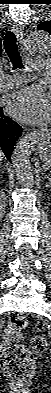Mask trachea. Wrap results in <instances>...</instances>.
<instances>
[{
	"mask_svg": "<svg viewBox=\"0 0 51 393\" xmlns=\"http://www.w3.org/2000/svg\"><path fill=\"white\" fill-rule=\"evenodd\" d=\"M16 41V36L12 31L6 32L4 37V49L13 65V70L24 68Z\"/></svg>",
	"mask_w": 51,
	"mask_h": 393,
	"instance_id": "1",
	"label": "trachea"
}]
</instances>
